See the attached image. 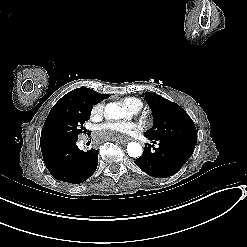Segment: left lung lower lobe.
Here are the masks:
<instances>
[{
	"label": "left lung lower lobe",
	"mask_w": 247,
	"mask_h": 247,
	"mask_svg": "<svg viewBox=\"0 0 247 247\" xmlns=\"http://www.w3.org/2000/svg\"><path fill=\"white\" fill-rule=\"evenodd\" d=\"M149 140L152 141V145L146 143L144 153L135 161V164L155 178H166L177 173L191 157L195 148L185 143ZM156 143L159 144L157 148L154 147Z\"/></svg>",
	"instance_id": "1"
}]
</instances>
